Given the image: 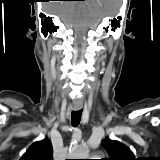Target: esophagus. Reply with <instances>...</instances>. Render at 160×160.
I'll return each instance as SVG.
<instances>
[{
    "mask_svg": "<svg viewBox=\"0 0 160 160\" xmlns=\"http://www.w3.org/2000/svg\"><path fill=\"white\" fill-rule=\"evenodd\" d=\"M73 108H74L75 111H78L82 108V106L81 105H75Z\"/></svg>",
    "mask_w": 160,
    "mask_h": 160,
    "instance_id": "obj_1",
    "label": "esophagus"
}]
</instances>
